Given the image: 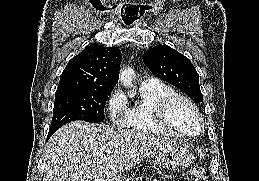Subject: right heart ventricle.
<instances>
[{"label":"right heart ventricle","instance_id":"obj_1","mask_svg":"<svg viewBox=\"0 0 259 181\" xmlns=\"http://www.w3.org/2000/svg\"><path fill=\"white\" fill-rule=\"evenodd\" d=\"M141 100L128 108L126 127L137 132L164 136H175L157 119V107L168 95L176 93L174 89L158 80L142 83L140 86Z\"/></svg>","mask_w":259,"mask_h":181}]
</instances>
